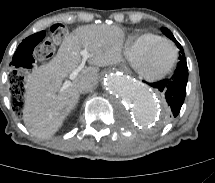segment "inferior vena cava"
<instances>
[{"label": "inferior vena cava", "instance_id": "inferior-vena-cava-1", "mask_svg": "<svg viewBox=\"0 0 215 183\" xmlns=\"http://www.w3.org/2000/svg\"><path fill=\"white\" fill-rule=\"evenodd\" d=\"M96 85L97 83H93L91 81H82L78 85V91L79 93H83V94L88 93V92H91Z\"/></svg>", "mask_w": 215, "mask_h": 183}]
</instances>
